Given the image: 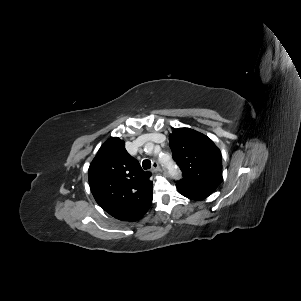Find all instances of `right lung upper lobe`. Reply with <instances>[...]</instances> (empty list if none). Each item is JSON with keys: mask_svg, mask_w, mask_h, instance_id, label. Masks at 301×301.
<instances>
[{"mask_svg": "<svg viewBox=\"0 0 301 301\" xmlns=\"http://www.w3.org/2000/svg\"><path fill=\"white\" fill-rule=\"evenodd\" d=\"M96 202L121 221H136L152 202L151 174L131 157L123 140L114 137L99 149L88 170Z\"/></svg>", "mask_w": 301, "mask_h": 301, "instance_id": "right-lung-upper-lobe-1", "label": "right lung upper lobe"}]
</instances>
